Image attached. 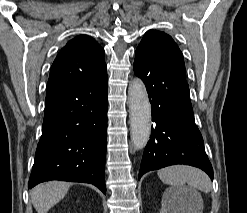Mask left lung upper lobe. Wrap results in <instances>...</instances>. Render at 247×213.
Wrapping results in <instances>:
<instances>
[{
  "label": "left lung upper lobe",
  "mask_w": 247,
  "mask_h": 213,
  "mask_svg": "<svg viewBox=\"0 0 247 213\" xmlns=\"http://www.w3.org/2000/svg\"><path fill=\"white\" fill-rule=\"evenodd\" d=\"M135 61L184 64L183 55L171 36L157 30L145 33L136 49Z\"/></svg>",
  "instance_id": "5c2ea615"
}]
</instances>
